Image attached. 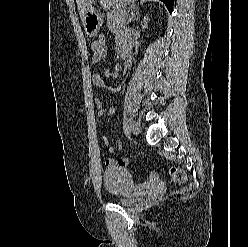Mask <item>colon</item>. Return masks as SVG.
<instances>
[{
  "label": "colon",
  "mask_w": 248,
  "mask_h": 247,
  "mask_svg": "<svg viewBox=\"0 0 248 247\" xmlns=\"http://www.w3.org/2000/svg\"><path fill=\"white\" fill-rule=\"evenodd\" d=\"M118 149H119V151H120L122 154L124 153V152H123V147H122V145H121L120 142H119V145H118ZM170 174H171L173 180H174L175 182H177V183H183V182H185V180H186V174H185V172H184L182 169H180V168L172 167V168L170 169ZM157 176H158V174H157L156 172H151L150 175H149V177H150L151 179H155V178H157Z\"/></svg>",
  "instance_id": "obj_1"
}]
</instances>
